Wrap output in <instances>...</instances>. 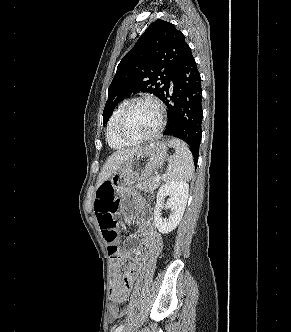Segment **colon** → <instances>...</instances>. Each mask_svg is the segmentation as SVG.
Listing matches in <instances>:
<instances>
[{
	"instance_id": "colon-1",
	"label": "colon",
	"mask_w": 291,
	"mask_h": 332,
	"mask_svg": "<svg viewBox=\"0 0 291 332\" xmlns=\"http://www.w3.org/2000/svg\"><path fill=\"white\" fill-rule=\"evenodd\" d=\"M95 206L99 226L107 244L108 252L112 258L116 259L119 256V249L117 246L118 231L115 219L117 203L114 197L113 189H103L96 198ZM110 314L112 317L118 316L119 309L116 306H112L110 308Z\"/></svg>"
}]
</instances>
